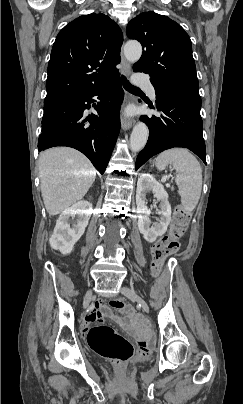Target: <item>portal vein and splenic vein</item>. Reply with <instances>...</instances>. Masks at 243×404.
Listing matches in <instances>:
<instances>
[{
    "label": "portal vein and splenic vein",
    "instance_id": "18ae733b",
    "mask_svg": "<svg viewBox=\"0 0 243 404\" xmlns=\"http://www.w3.org/2000/svg\"><path fill=\"white\" fill-rule=\"evenodd\" d=\"M168 178H169V175H167V174H164L163 175V178H162V180H161V183L164 185V186H167L168 185Z\"/></svg>",
    "mask_w": 243,
    "mask_h": 404
}]
</instances>
